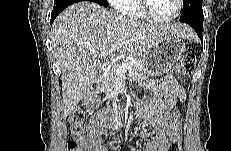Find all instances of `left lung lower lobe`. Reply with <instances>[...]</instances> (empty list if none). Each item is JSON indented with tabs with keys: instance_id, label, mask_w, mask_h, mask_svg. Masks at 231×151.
<instances>
[{
	"instance_id": "left-lung-lower-lobe-1",
	"label": "left lung lower lobe",
	"mask_w": 231,
	"mask_h": 151,
	"mask_svg": "<svg viewBox=\"0 0 231 151\" xmlns=\"http://www.w3.org/2000/svg\"><path fill=\"white\" fill-rule=\"evenodd\" d=\"M203 20L200 17H194L192 19H181V22L187 23L188 25H190L198 34V36L200 37L201 41H202V28H203Z\"/></svg>"
}]
</instances>
